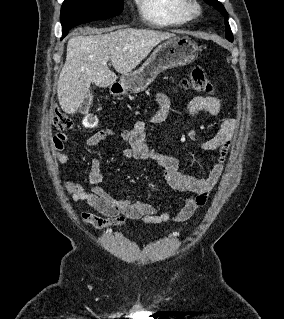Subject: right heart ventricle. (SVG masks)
<instances>
[{
  "label": "right heart ventricle",
  "mask_w": 284,
  "mask_h": 319,
  "mask_svg": "<svg viewBox=\"0 0 284 319\" xmlns=\"http://www.w3.org/2000/svg\"><path fill=\"white\" fill-rule=\"evenodd\" d=\"M140 17L155 27H172L188 23L183 0H135Z\"/></svg>",
  "instance_id": "1"
}]
</instances>
